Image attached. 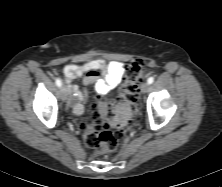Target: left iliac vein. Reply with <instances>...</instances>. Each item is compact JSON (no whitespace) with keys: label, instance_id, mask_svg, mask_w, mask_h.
Masks as SVG:
<instances>
[{"label":"left iliac vein","instance_id":"1","mask_svg":"<svg viewBox=\"0 0 222 187\" xmlns=\"http://www.w3.org/2000/svg\"><path fill=\"white\" fill-rule=\"evenodd\" d=\"M149 87H150L149 83H148V82H144V83L141 85V92H142V93H147L148 90H149Z\"/></svg>","mask_w":222,"mask_h":187}]
</instances>
